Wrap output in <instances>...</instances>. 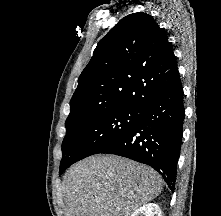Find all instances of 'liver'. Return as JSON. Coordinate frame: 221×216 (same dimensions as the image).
<instances>
[{
	"instance_id": "1",
	"label": "liver",
	"mask_w": 221,
	"mask_h": 216,
	"mask_svg": "<svg viewBox=\"0 0 221 216\" xmlns=\"http://www.w3.org/2000/svg\"><path fill=\"white\" fill-rule=\"evenodd\" d=\"M162 187L160 175L146 165L113 155L92 156L63 177L66 216H130Z\"/></svg>"
}]
</instances>
